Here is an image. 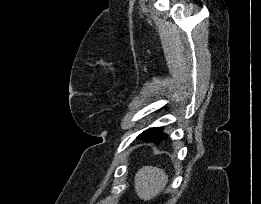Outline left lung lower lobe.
<instances>
[{"instance_id":"1","label":"left lung lower lobe","mask_w":261,"mask_h":204,"mask_svg":"<svg viewBox=\"0 0 261 204\" xmlns=\"http://www.w3.org/2000/svg\"><path fill=\"white\" fill-rule=\"evenodd\" d=\"M162 139H165V135H163L162 133L159 134L158 136L154 137L153 139L149 140L150 142L152 143H155V144H159V142L162 140ZM148 141V142H149ZM147 142V141H146Z\"/></svg>"}]
</instances>
